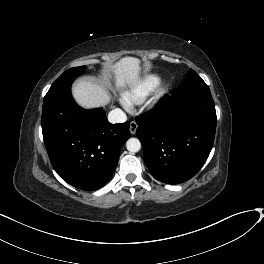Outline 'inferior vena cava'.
<instances>
[{
  "label": "inferior vena cava",
  "mask_w": 264,
  "mask_h": 264,
  "mask_svg": "<svg viewBox=\"0 0 264 264\" xmlns=\"http://www.w3.org/2000/svg\"><path fill=\"white\" fill-rule=\"evenodd\" d=\"M127 116L121 109H114L108 114V121L110 123H123L126 122Z\"/></svg>",
  "instance_id": "1"
}]
</instances>
